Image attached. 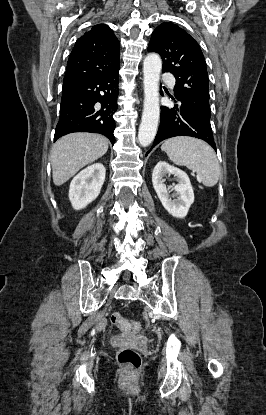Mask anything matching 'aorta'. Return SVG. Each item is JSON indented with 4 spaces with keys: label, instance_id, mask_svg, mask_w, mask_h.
I'll use <instances>...</instances> for the list:
<instances>
[{
    "label": "aorta",
    "instance_id": "aorta-1",
    "mask_svg": "<svg viewBox=\"0 0 266 415\" xmlns=\"http://www.w3.org/2000/svg\"><path fill=\"white\" fill-rule=\"evenodd\" d=\"M162 61L155 53L148 54L143 63L144 108L138 132V141L146 147L157 133L160 118L159 80Z\"/></svg>",
    "mask_w": 266,
    "mask_h": 415
}]
</instances>
